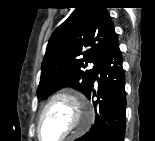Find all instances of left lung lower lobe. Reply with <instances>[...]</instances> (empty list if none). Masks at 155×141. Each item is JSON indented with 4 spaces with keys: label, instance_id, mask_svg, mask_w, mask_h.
Returning <instances> with one entry per match:
<instances>
[{
    "label": "left lung lower lobe",
    "instance_id": "1",
    "mask_svg": "<svg viewBox=\"0 0 155 141\" xmlns=\"http://www.w3.org/2000/svg\"><path fill=\"white\" fill-rule=\"evenodd\" d=\"M95 81L98 82L97 93L93 88ZM86 96L88 99L97 97V100L93 101L96 113L95 124L78 140L124 141L126 127L125 74L117 35L112 37L101 56L93 84ZM114 102L117 103V108H115Z\"/></svg>",
    "mask_w": 155,
    "mask_h": 141
}]
</instances>
